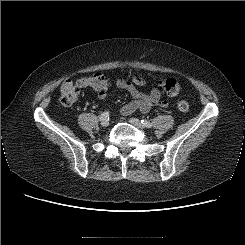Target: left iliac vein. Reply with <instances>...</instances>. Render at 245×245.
<instances>
[{"instance_id":"obj_1","label":"left iliac vein","mask_w":245,"mask_h":245,"mask_svg":"<svg viewBox=\"0 0 245 245\" xmlns=\"http://www.w3.org/2000/svg\"><path fill=\"white\" fill-rule=\"evenodd\" d=\"M130 123L133 124L135 127L139 129H144V126L142 125L141 121L137 118H130Z\"/></svg>"}]
</instances>
